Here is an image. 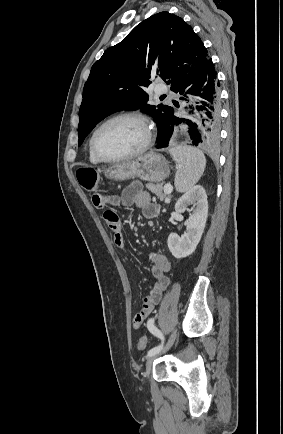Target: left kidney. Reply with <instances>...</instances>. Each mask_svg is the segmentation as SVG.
<instances>
[{
  "label": "left kidney",
  "mask_w": 283,
  "mask_h": 434,
  "mask_svg": "<svg viewBox=\"0 0 283 434\" xmlns=\"http://www.w3.org/2000/svg\"><path fill=\"white\" fill-rule=\"evenodd\" d=\"M189 205H193L188 209ZM175 210L182 213L188 210L189 218L186 220V232L180 237L176 233L168 236L167 244L172 255L184 258L191 255L204 232L208 216V201L205 189L201 185L193 186L175 204Z\"/></svg>",
  "instance_id": "left-kidney-1"
}]
</instances>
